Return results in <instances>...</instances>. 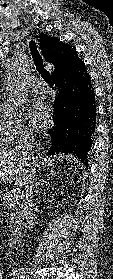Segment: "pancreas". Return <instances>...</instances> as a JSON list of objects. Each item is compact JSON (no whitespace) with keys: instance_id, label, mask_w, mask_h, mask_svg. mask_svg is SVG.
Wrapping results in <instances>:
<instances>
[{"instance_id":"pancreas-1","label":"pancreas","mask_w":113,"mask_h":279,"mask_svg":"<svg viewBox=\"0 0 113 279\" xmlns=\"http://www.w3.org/2000/svg\"><path fill=\"white\" fill-rule=\"evenodd\" d=\"M21 192L13 190H6L5 194L1 195V202L2 206L10 209L14 212V215H12L9 219V229H12L16 225H20L23 219V197L21 196Z\"/></svg>"}]
</instances>
